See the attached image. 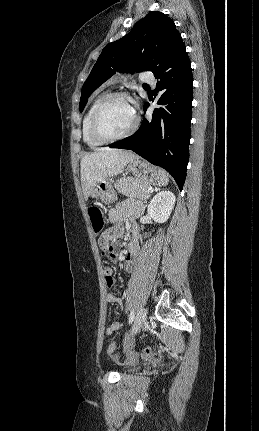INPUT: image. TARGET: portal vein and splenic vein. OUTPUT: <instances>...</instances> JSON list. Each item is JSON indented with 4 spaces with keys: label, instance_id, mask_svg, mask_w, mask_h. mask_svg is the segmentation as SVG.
I'll return each instance as SVG.
<instances>
[{
    "label": "portal vein and splenic vein",
    "instance_id": "1",
    "mask_svg": "<svg viewBox=\"0 0 259 431\" xmlns=\"http://www.w3.org/2000/svg\"><path fill=\"white\" fill-rule=\"evenodd\" d=\"M147 191H148V192H152V191H153V188H152V187H149Z\"/></svg>",
    "mask_w": 259,
    "mask_h": 431
}]
</instances>
